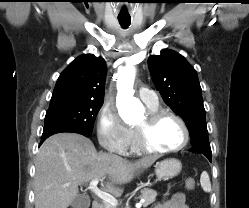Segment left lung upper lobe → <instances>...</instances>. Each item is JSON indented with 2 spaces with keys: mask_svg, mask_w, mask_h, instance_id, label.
Listing matches in <instances>:
<instances>
[{
  "mask_svg": "<svg viewBox=\"0 0 249 208\" xmlns=\"http://www.w3.org/2000/svg\"><path fill=\"white\" fill-rule=\"evenodd\" d=\"M148 65L152 81L164 102L186 123L192 148L211 150L202 101V90L194 68L179 53L163 49Z\"/></svg>",
  "mask_w": 249,
  "mask_h": 208,
  "instance_id": "1",
  "label": "left lung upper lobe"
}]
</instances>
